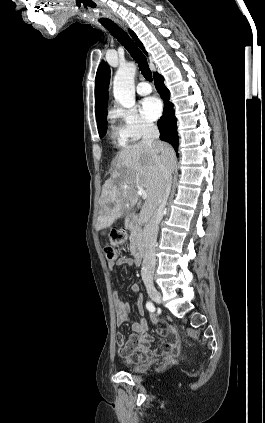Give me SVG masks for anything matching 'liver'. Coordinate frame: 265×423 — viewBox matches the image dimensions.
<instances>
[{"label": "liver", "instance_id": "6515ba94", "mask_svg": "<svg viewBox=\"0 0 265 423\" xmlns=\"http://www.w3.org/2000/svg\"><path fill=\"white\" fill-rule=\"evenodd\" d=\"M163 145L165 150L158 153L159 159L156 158L155 148L141 143L126 146L119 151L112 163L111 177L102 189L97 230L111 226L117 218L135 206L139 198L136 185L147 193L138 222L142 225L151 219L163 184L161 161L167 158L172 166L175 161L173 149L166 143Z\"/></svg>", "mask_w": 265, "mask_h": 423}]
</instances>
